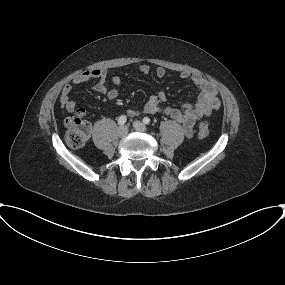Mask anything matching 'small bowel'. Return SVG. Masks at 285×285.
<instances>
[{
	"label": "small bowel",
	"mask_w": 285,
	"mask_h": 285,
	"mask_svg": "<svg viewBox=\"0 0 285 285\" xmlns=\"http://www.w3.org/2000/svg\"><path fill=\"white\" fill-rule=\"evenodd\" d=\"M140 71L144 74H148L151 68L147 64L140 66ZM166 71L162 67L155 69V75L158 78H163ZM180 77L184 80H191L198 90L197 100L195 103L186 102L181 105L180 108L175 107H162V103L166 101V95L164 92H159L151 96L146 102L143 113L145 114H156L163 113L170 116L174 120L182 124L186 137L190 138L194 132V126L196 122L204 117L210 115L213 111L220 107V99L215 86L208 81L206 78L191 74L187 71L180 73ZM96 79L97 82L93 86L94 91L107 96L109 101H114L119 96V87L121 85V79L119 76H113L111 82L116 88L108 87V74L102 69H91L84 71L76 75L69 83H67L61 91L60 102L62 106L69 112L76 110L77 114L84 115L85 110L80 108L76 109V102L70 97V93L74 85L87 82L89 80ZM127 114L131 117H135L141 114V111L136 108L129 109Z\"/></svg>",
	"instance_id": "c3829d8e"
}]
</instances>
